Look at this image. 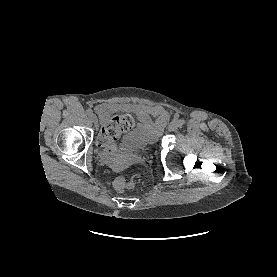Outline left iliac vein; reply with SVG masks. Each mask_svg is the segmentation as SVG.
<instances>
[{"instance_id": "left-iliac-vein-1", "label": "left iliac vein", "mask_w": 277, "mask_h": 277, "mask_svg": "<svg viewBox=\"0 0 277 277\" xmlns=\"http://www.w3.org/2000/svg\"><path fill=\"white\" fill-rule=\"evenodd\" d=\"M179 125H178V122L176 121H172L169 125H168V130L170 132H174L178 129Z\"/></svg>"}]
</instances>
